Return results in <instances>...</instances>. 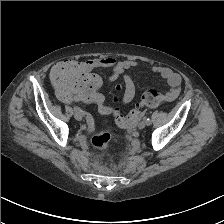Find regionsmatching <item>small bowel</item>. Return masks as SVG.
<instances>
[{"label":"small bowel","instance_id":"1","mask_svg":"<svg viewBox=\"0 0 224 224\" xmlns=\"http://www.w3.org/2000/svg\"><path fill=\"white\" fill-rule=\"evenodd\" d=\"M83 66L87 70H92L99 67L111 68L113 71V74L111 76L112 80L117 79L126 70L140 67V65L135 61L117 60L112 57L89 59L83 63ZM149 70L160 75L167 82L169 89L163 95L164 100L173 101L174 99H176L180 93L181 86V77L179 76V74L168 67L159 65H152L150 66ZM123 79L125 83V92L123 95L122 103L127 104L133 100L136 93V86L131 76L124 75ZM106 110L107 109L105 107L102 108L103 112H105Z\"/></svg>","mask_w":224,"mask_h":224}]
</instances>
